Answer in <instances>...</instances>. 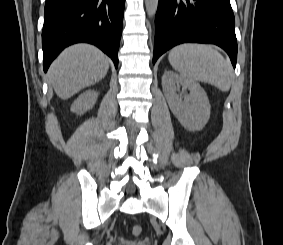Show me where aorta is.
<instances>
[{"label":"aorta","instance_id":"aorta-1","mask_svg":"<svg viewBox=\"0 0 283 245\" xmlns=\"http://www.w3.org/2000/svg\"><path fill=\"white\" fill-rule=\"evenodd\" d=\"M145 7L149 17H153L157 11L158 0H145Z\"/></svg>","mask_w":283,"mask_h":245}]
</instances>
